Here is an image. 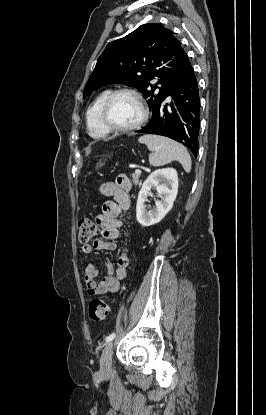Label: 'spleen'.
Wrapping results in <instances>:
<instances>
[{
    "mask_svg": "<svg viewBox=\"0 0 266 415\" xmlns=\"http://www.w3.org/2000/svg\"><path fill=\"white\" fill-rule=\"evenodd\" d=\"M139 143L145 144L152 152L149 156V162L152 166H164L176 160L186 173L191 171V157L181 144L158 135H143L139 138Z\"/></svg>",
    "mask_w": 266,
    "mask_h": 415,
    "instance_id": "obj_1",
    "label": "spleen"
}]
</instances>
